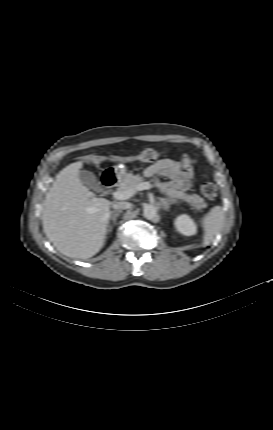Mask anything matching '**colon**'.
Wrapping results in <instances>:
<instances>
[{"instance_id": "obj_1", "label": "colon", "mask_w": 273, "mask_h": 430, "mask_svg": "<svg viewBox=\"0 0 273 430\" xmlns=\"http://www.w3.org/2000/svg\"><path fill=\"white\" fill-rule=\"evenodd\" d=\"M159 153L154 149H145L139 152L138 154L131 155V156H125V157H107L102 155H88L84 158V162L86 164H101L103 162H106L108 160L113 161H128V162H152L158 157ZM183 163L187 167H191L192 164L195 163L194 160H190L186 157L183 158ZM202 195L209 200H213L217 196V187L213 182H204L201 184L200 187Z\"/></svg>"}]
</instances>
